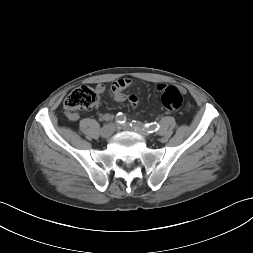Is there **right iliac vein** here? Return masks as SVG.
Masks as SVG:
<instances>
[{"label": "right iliac vein", "mask_w": 253, "mask_h": 253, "mask_svg": "<svg viewBox=\"0 0 253 253\" xmlns=\"http://www.w3.org/2000/svg\"><path fill=\"white\" fill-rule=\"evenodd\" d=\"M116 125L113 123L107 124L101 129V136L103 138H109L115 131Z\"/></svg>", "instance_id": "right-iliac-vein-1"}]
</instances>
